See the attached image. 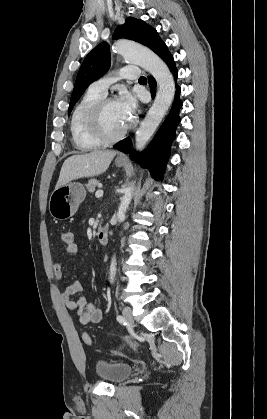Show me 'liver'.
I'll return each mask as SVG.
<instances>
[{"label":"liver","mask_w":267,"mask_h":419,"mask_svg":"<svg viewBox=\"0 0 267 419\" xmlns=\"http://www.w3.org/2000/svg\"><path fill=\"white\" fill-rule=\"evenodd\" d=\"M115 155L116 151L112 150H94L67 158L62 165L55 188L74 179L102 174L108 169Z\"/></svg>","instance_id":"6515ba94"}]
</instances>
